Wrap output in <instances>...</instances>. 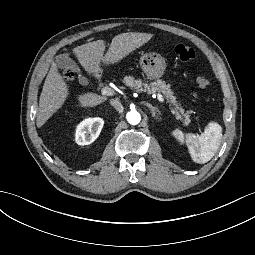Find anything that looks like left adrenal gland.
<instances>
[{"label": "left adrenal gland", "instance_id": "left-adrenal-gland-1", "mask_svg": "<svg viewBox=\"0 0 255 255\" xmlns=\"http://www.w3.org/2000/svg\"><path fill=\"white\" fill-rule=\"evenodd\" d=\"M146 106L148 108H150L151 112H152V116L155 117L156 116V111H158V109L154 106H152V104L146 103Z\"/></svg>", "mask_w": 255, "mask_h": 255}]
</instances>
